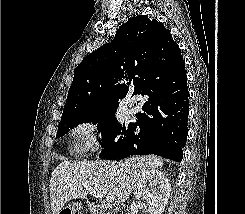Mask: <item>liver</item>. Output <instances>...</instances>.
Listing matches in <instances>:
<instances>
[{"instance_id": "obj_1", "label": "liver", "mask_w": 245, "mask_h": 214, "mask_svg": "<svg viewBox=\"0 0 245 214\" xmlns=\"http://www.w3.org/2000/svg\"><path fill=\"white\" fill-rule=\"evenodd\" d=\"M155 156H135L123 161H62L50 178V201L53 214H59L71 199L87 196L83 184L102 194L113 195L125 202L136 188L141 177L162 167Z\"/></svg>"}]
</instances>
